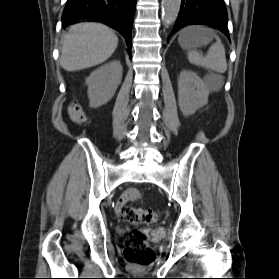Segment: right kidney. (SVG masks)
I'll list each match as a JSON object with an SVG mask.
<instances>
[{
	"label": "right kidney",
	"mask_w": 279,
	"mask_h": 279,
	"mask_svg": "<svg viewBox=\"0 0 279 279\" xmlns=\"http://www.w3.org/2000/svg\"><path fill=\"white\" fill-rule=\"evenodd\" d=\"M122 80L120 61H111L93 71L86 79L89 104L92 108L106 104L115 94Z\"/></svg>",
	"instance_id": "1"
}]
</instances>
